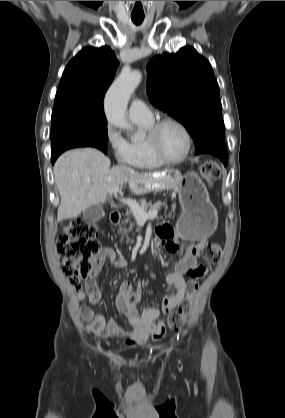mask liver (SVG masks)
I'll use <instances>...</instances> for the list:
<instances>
[{"label":"liver","mask_w":285,"mask_h":418,"mask_svg":"<svg viewBox=\"0 0 285 418\" xmlns=\"http://www.w3.org/2000/svg\"><path fill=\"white\" fill-rule=\"evenodd\" d=\"M110 165L109 158L94 148L70 150L57 159L53 172L61 198L59 222L77 218L94 204L105 203L107 194L116 187L128 184L133 194L142 195L154 189L177 192L182 183L179 171L139 173L127 166Z\"/></svg>","instance_id":"liver-1"}]
</instances>
